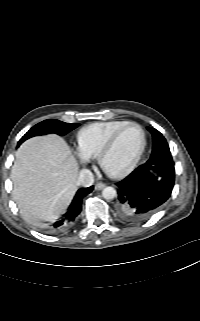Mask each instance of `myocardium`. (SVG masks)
<instances>
[{"label": "myocardium", "mask_w": 200, "mask_h": 321, "mask_svg": "<svg viewBox=\"0 0 200 321\" xmlns=\"http://www.w3.org/2000/svg\"><path fill=\"white\" fill-rule=\"evenodd\" d=\"M132 126L137 127L142 134V142H141L139 150L137 151L136 155L131 160V162L128 164V166L126 168H124L123 170H121L119 172H111V171L107 170L104 165L105 157L113 149V147L115 146V144H116L119 136L122 134V132ZM146 144H147V139H146V132H145L144 128L136 122H129V123L123 125L122 127H120L119 129H117L111 135V137L107 140V142L104 144V146L101 148V150L97 156L98 164L101 167V169L109 177L115 178V179L123 178V177L127 176L129 173H131L133 171V169L136 167L137 163L139 162L140 158L142 157V155L145 151Z\"/></svg>", "instance_id": "myocardium-1"}]
</instances>
